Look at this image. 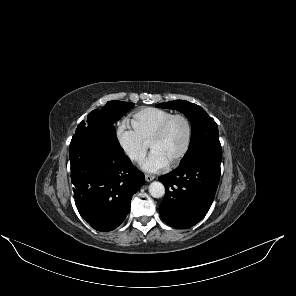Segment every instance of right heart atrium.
Here are the masks:
<instances>
[{
  "instance_id": "obj_1",
  "label": "right heart atrium",
  "mask_w": 296,
  "mask_h": 296,
  "mask_svg": "<svg viewBox=\"0 0 296 296\" xmlns=\"http://www.w3.org/2000/svg\"><path fill=\"white\" fill-rule=\"evenodd\" d=\"M117 139L130 160L136 163L144 160L149 144L144 142L134 129L121 125L117 129Z\"/></svg>"
}]
</instances>
